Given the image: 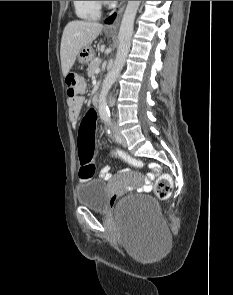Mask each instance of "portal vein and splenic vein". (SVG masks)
Instances as JSON below:
<instances>
[{"mask_svg": "<svg viewBox=\"0 0 233 295\" xmlns=\"http://www.w3.org/2000/svg\"><path fill=\"white\" fill-rule=\"evenodd\" d=\"M95 72L96 73H99L100 72V68H97Z\"/></svg>", "mask_w": 233, "mask_h": 295, "instance_id": "portal-vein-and-splenic-vein-1", "label": "portal vein and splenic vein"}]
</instances>
